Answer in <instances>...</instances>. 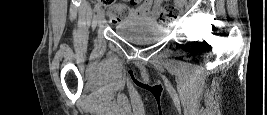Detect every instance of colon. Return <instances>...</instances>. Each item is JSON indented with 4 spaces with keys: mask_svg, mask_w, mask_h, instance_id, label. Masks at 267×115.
Here are the masks:
<instances>
[{
    "mask_svg": "<svg viewBox=\"0 0 267 115\" xmlns=\"http://www.w3.org/2000/svg\"><path fill=\"white\" fill-rule=\"evenodd\" d=\"M129 7L125 3H115L108 7L106 16L110 22L117 23L128 16ZM159 18L163 21H173L178 18V9L173 5H164L159 9Z\"/></svg>",
    "mask_w": 267,
    "mask_h": 115,
    "instance_id": "colon-1",
    "label": "colon"
}]
</instances>
